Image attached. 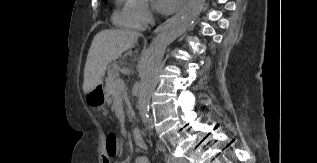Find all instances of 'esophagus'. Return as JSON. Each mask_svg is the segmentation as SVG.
<instances>
[{
    "label": "esophagus",
    "instance_id": "1",
    "mask_svg": "<svg viewBox=\"0 0 317 163\" xmlns=\"http://www.w3.org/2000/svg\"><path fill=\"white\" fill-rule=\"evenodd\" d=\"M190 0H187L185 5L181 8V10L179 12H177L173 17L169 18L168 20H166L165 22H163L162 24H160L153 32V34H158L160 33L162 30H164L168 25H170L174 20H176L184 11L185 9L188 7Z\"/></svg>",
    "mask_w": 317,
    "mask_h": 163
}]
</instances>
